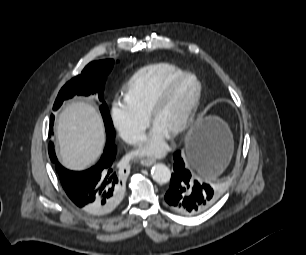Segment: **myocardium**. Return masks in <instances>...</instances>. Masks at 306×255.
<instances>
[{
    "instance_id": "1",
    "label": "myocardium",
    "mask_w": 306,
    "mask_h": 255,
    "mask_svg": "<svg viewBox=\"0 0 306 255\" xmlns=\"http://www.w3.org/2000/svg\"><path fill=\"white\" fill-rule=\"evenodd\" d=\"M192 79L195 81L197 90L196 93L190 102L183 118L181 121L171 130V134L173 136L179 135L186 131L189 126L191 125L193 118L195 116V113L199 107V104L201 102L202 93H203V87L202 83L199 80V78L193 74V73H184L174 81H172L155 99L153 104L151 105L148 117L151 123L154 124L155 119L160 112V110L164 107V105L169 101V99L172 97V95L177 91V89L187 80Z\"/></svg>"
}]
</instances>
